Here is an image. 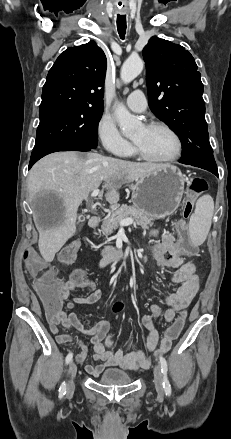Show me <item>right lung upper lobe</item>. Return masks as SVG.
Returning <instances> with one entry per match:
<instances>
[{
  "label": "right lung upper lobe",
  "instance_id": "cb5924a9",
  "mask_svg": "<svg viewBox=\"0 0 231 439\" xmlns=\"http://www.w3.org/2000/svg\"><path fill=\"white\" fill-rule=\"evenodd\" d=\"M107 60L94 41L65 50L50 69L39 116L75 108H103Z\"/></svg>",
  "mask_w": 231,
  "mask_h": 439
}]
</instances>
